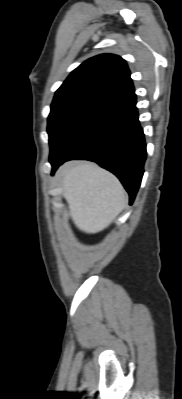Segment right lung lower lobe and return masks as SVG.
I'll use <instances>...</instances> for the list:
<instances>
[{
  "label": "right lung lower lobe",
  "mask_w": 182,
  "mask_h": 399,
  "mask_svg": "<svg viewBox=\"0 0 182 399\" xmlns=\"http://www.w3.org/2000/svg\"><path fill=\"white\" fill-rule=\"evenodd\" d=\"M138 118L134 91L86 115L50 148L52 175L68 160L96 162L120 179L132 204L147 154Z\"/></svg>",
  "instance_id": "98d812e1"
}]
</instances>
